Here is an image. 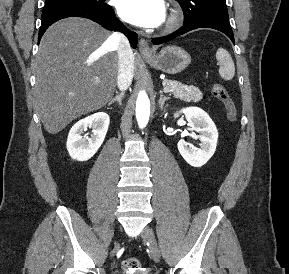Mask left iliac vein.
Masks as SVG:
<instances>
[{
    "mask_svg": "<svg viewBox=\"0 0 289 274\" xmlns=\"http://www.w3.org/2000/svg\"><path fill=\"white\" fill-rule=\"evenodd\" d=\"M142 238L149 244L150 254L155 262L160 261V251L153 230L146 226L142 231Z\"/></svg>",
    "mask_w": 289,
    "mask_h": 274,
    "instance_id": "obj_1",
    "label": "left iliac vein"
}]
</instances>
